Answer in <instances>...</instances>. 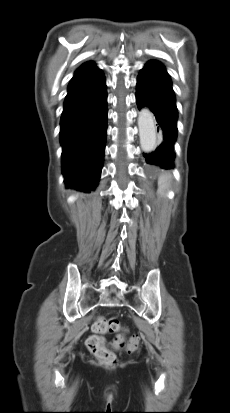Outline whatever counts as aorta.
<instances>
[{
  "label": "aorta",
  "instance_id": "762f6f07",
  "mask_svg": "<svg viewBox=\"0 0 230 413\" xmlns=\"http://www.w3.org/2000/svg\"><path fill=\"white\" fill-rule=\"evenodd\" d=\"M140 145L143 151H152L157 143V133L153 114L148 109H142L138 115Z\"/></svg>",
  "mask_w": 230,
  "mask_h": 413
}]
</instances>
